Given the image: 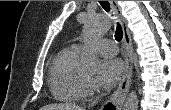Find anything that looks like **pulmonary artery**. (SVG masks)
Returning <instances> with one entry per match:
<instances>
[{
  "label": "pulmonary artery",
  "instance_id": "obj_1",
  "mask_svg": "<svg viewBox=\"0 0 171 110\" xmlns=\"http://www.w3.org/2000/svg\"><path fill=\"white\" fill-rule=\"evenodd\" d=\"M79 47L78 45H76ZM97 51L106 57H113L117 54L118 48L114 41L109 39H100L96 43Z\"/></svg>",
  "mask_w": 171,
  "mask_h": 110
}]
</instances>
